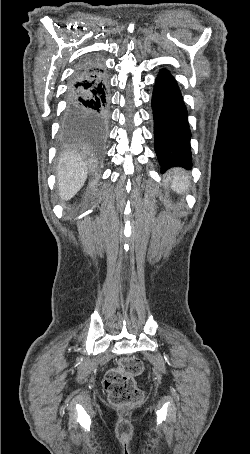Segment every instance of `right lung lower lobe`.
<instances>
[{"label": "right lung lower lobe", "instance_id": "obj_1", "mask_svg": "<svg viewBox=\"0 0 250 454\" xmlns=\"http://www.w3.org/2000/svg\"><path fill=\"white\" fill-rule=\"evenodd\" d=\"M64 124L80 141L102 147L109 119L108 81L103 61L83 59L75 68L67 90Z\"/></svg>", "mask_w": 250, "mask_h": 454}]
</instances>
